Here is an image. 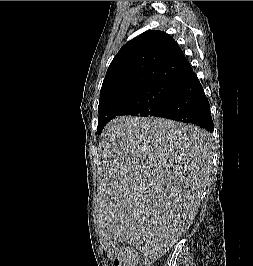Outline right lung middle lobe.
I'll use <instances>...</instances> for the list:
<instances>
[{"instance_id": "dd1d6c3e", "label": "right lung middle lobe", "mask_w": 253, "mask_h": 266, "mask_svg": "<svg viewBox=\"0 0 253 266\" xmlns=\"http://www.w3.org/2000/svg\"><path fill=\"white\" fill-rule=\"evenodd\" d=\"M171 83H154L123 93L98 106V134L119 115L159 117L169 98Z\"/></svg>"}]
</instances>
